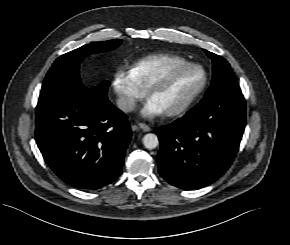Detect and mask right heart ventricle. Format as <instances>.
<instances>
[{"instance_id":"1","label":"right heart ventricle","mask_w":290,"mask_h":245,"mask_svg":"<svg viewBox=\"0 0 290 245\" xmlns=\"http://www.w3.org/2000/svg\"><path fill=\"white\" fill-rule=\"evenodd\" d=\"M187 62V59L178 55L156 54L139 60L130 70L139 86L146 90L156 76Z\"/></svg>"}]
</instances>
